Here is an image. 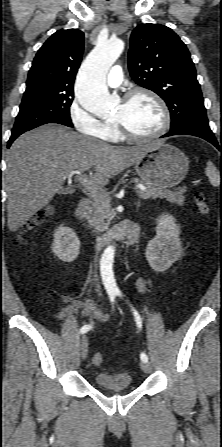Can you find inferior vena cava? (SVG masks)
I'll list each match as a JSON object with an SVG mask.
<instances>
[{"instance_id": "1", "label": "inferior vena cava", "mask_w": 222, "mask_h": 447, "mask_svg": "<svg viewBox=\"0 0 222 447\" xmlns=\"http://www.w3.org/2000/svg\"><path fill=\"white\" fill-rule=\"evenodd\" d=\"M96 259H97V257L95 258V261H96ZM95 277H97V275H95ZM95 281H97V278L95 279ZM98 291H99V286H98Z\"/></svg>"}]
</instances>
